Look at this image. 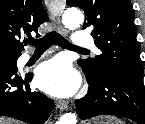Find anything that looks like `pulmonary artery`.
<instances>
[{
  "label": "pulmonary artery",
  "mask_w": 145,
  "mask_h": 124,
  "mask_svg": "<svg viewBox=\"0 0 145 124\" xmlns=\"http://www.w3.org/2000/svg\"><path fill=\"white\" fill-rule=\"evenodd\" d=\"M73 45L79 48H93L97 53H100V51L94 46L92 36L84 30L76 31ZM30 57L31 56L29 54H23L20 61L25 63L30 59Z\"/></svg>",
  "instance_id": "obj_1"
}]
</instances>
